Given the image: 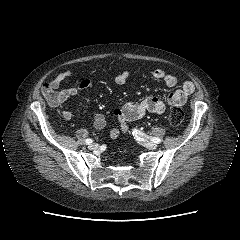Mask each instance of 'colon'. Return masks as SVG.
<instances>
[{"label":"colon","mask_w":240,"mask_h":240,"mask_svg":"<svg viewBox=\"0 0 240 240\" xmlns=\"http://www.w3.org/2000/svg\"><path fill=\"white\" fill-rule=\"evenodd\" d=\"M43 90H44V94L46 95L47 99L52 104H56L57 100H56L55 95L53 93H51L45 85L43 87ZM184 117H185V114H184L183 110H181L180 108H174L169 111L167 119L170 124L179 125L184 121Z\"/></svg>","instance_id":"5ec220e1"}]
</instances>
